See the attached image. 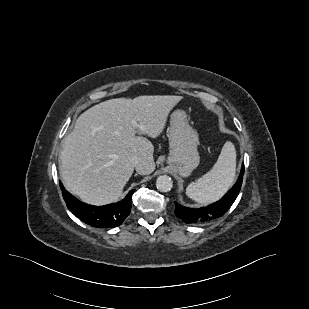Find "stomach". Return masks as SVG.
<instances>
[{"label": "stomach", "instance_id": "obj_1", "mask_svg": "<svg viewBox=\"0 0 309 309\" xmlns=\"http://www.w3.org/2000/svg\"><path fill=\"white\" fill-rule=\"evenodd\" d=\"M168 163L174 165L178 173L187 177L199 165L200 156L197 151L198 133L189 125V116L183 110H175L171 114Z\"/></svg>", "mask_w": 309, "mask_h": 309}]
</instances>
